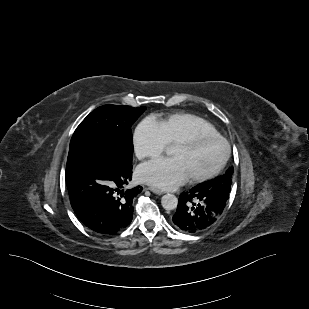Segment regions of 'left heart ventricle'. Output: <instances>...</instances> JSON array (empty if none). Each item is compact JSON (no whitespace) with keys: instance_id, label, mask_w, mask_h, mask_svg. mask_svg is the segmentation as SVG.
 <instances>
[{"instance_id":"b2bd125f","label":"left heart ventricle","mask_w":309,"mask_h":309,"mask_svg":"<svg viewBox=\"0 0 309 309\" xmlns=\"http://www.w3.org/2000/svg\"><path fill=\"white\" fill-rule=\"evenodd\" d=\"M170 153L182 162L188 176L192 177L212 171L222 157L223 146L210 140L194 147L175 145Z\"/></svg>"}]
</instances>
